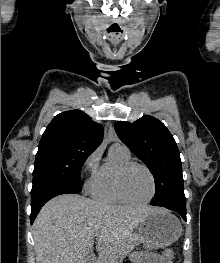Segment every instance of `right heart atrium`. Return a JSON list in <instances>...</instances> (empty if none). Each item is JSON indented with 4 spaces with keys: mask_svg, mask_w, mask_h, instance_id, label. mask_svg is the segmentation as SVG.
<instances>
[{
    "mask_svg": "<svg viewBox=\"0 0 220 263\" xmlns=\"http://www.w3.org/2000/svg\"><path fill=\"white\" fill-rule=\"evenodd\" d=\"M99 161H100V150L96 149L92 152L84 162L83 171L87 177L86 180V189L91 191L92 184L96 178V175L99 170Z\"/></svg>",
    "mask_w": 220,
    "mask_h": 263,
    "instance_id": "right-heart-atrium-1",
    "label": "right heart atrium"
}]
</instances>
